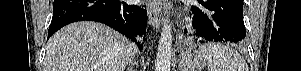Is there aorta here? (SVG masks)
<instances>
[{
  "instance_id": "762f6f07",
  "label": "aorta",
  "mask_w": 301,
  "mask_h": 71,
  "mask_svg": "<svg viewBox=\"0 0 301 71\" xmlns=\"http://www.w3.org/2000/svg\"><path fill=\"white\" fill-rule=\"evenodd\" d=\"M171 56L172 32L167 12V17L163 20L162 32L158 42V50L155 61V71H170Z\"/></svg>"
}]
</instances>
